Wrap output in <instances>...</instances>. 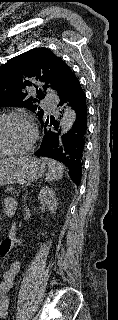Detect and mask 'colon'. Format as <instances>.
<instances>
[{"instance_id":"colon-1","label":"colon","mask_w":118,"mask_h":320,"mask_svg":"<svg viewBox=\"0 0 118 320\" xmlns=\"http://www.w3.org/2000/svg\"><path fill=\"white\" fill-rule=\"evenodd\" d=\"M15 241L14 237L5 238L0 244V258L4 257L8 250L11 248L12 242Z\"/></svg>"}]
</instances>
